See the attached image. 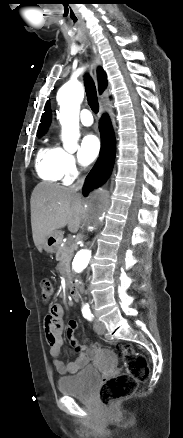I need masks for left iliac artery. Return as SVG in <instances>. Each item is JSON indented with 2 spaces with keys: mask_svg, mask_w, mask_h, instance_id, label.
I'll list each match as a JSON object with an SVG mask.
<instances>
[{
  "mask_svg": "<svg viewBox=\"0 0 183 438\" xmlns=\"http://www.w3.org/2000/svg\"><path fill=\"white\" fill-rule=\"evenodd\" d=\"M82 314L86 319H88L90 321L93 319V315L89 309V306H85L82 308Z\"/></svg>",
  "mask_w": 183,
  "mask_h": 438,
  "instance_id": "obj_1",
  "label": "left iliac artery"
}]
</instances>
